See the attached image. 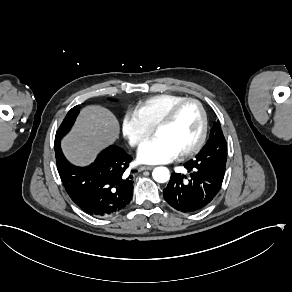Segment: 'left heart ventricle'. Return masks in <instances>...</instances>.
I'll return each mask as SVG.
<instances>
[{
    "label": "left heart ventricle",
    "mask_w": 292,
    "mask_h": 292,
    "mask_svg": "<svg viewBox=\"0 0 292 292\" xmlns=\"http://www.w3.org/2000/svg\"><path fill=\"white\" fill-rule=\"evenodd\" d=\"M199 131V110L195 104L187 103L180 107L170 123L157 128L155 132L171 140L181 152L195 143Z\"/></svg>",
    "instance_id": "obj_1"
}]
</instances>
